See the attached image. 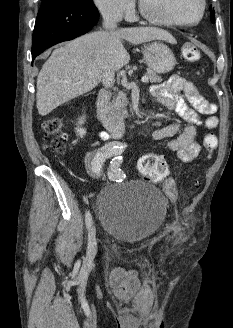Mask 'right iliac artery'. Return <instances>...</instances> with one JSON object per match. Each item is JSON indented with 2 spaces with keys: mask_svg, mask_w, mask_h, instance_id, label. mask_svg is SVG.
<instances>
[{
  "mask_svg": "<svg viewBox=\"0 0 233 328\" xmlns=\"http://www.w3.org/2000/svg\"><path fill=\"white\" fill-rule=\"evenodd\" d=\"M125 146L121 143H110L101 149L91 153L87 159L88 172L91 176H99L101 174L102 165L106 159L121 155ZM86 226L89 229L92 224V217L89 211L85 213Z\"/></svg>",
  "mask_w": 233,
  "mask_h": 328,
  "instance_id": "right-iliac-artery-1",
  "label": "right iliac artery"
}]
</instances>
